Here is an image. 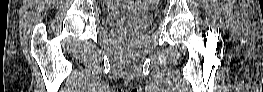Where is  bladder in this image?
Listing matches in <instances>:
<instances>
[{"instance_id": "obj_1", "label": "bladder", "mask_w": 263, "mask_h": 92, "mask_svg": "<svg viewBox=\"0 0 263 92\" xmlns=\"http://www.w3.org/2000/svg\"><path fill=\"white\" fill-rule=\"evenodd\" d=\"M106 23L115 29L134 27L146 29L153 21L152 13L147 9H116L106 14Z\"/></svg>"}]
</instances>
